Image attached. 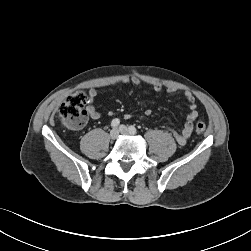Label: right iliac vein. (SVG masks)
<instances>
[{"label":"right iliac vein","instance_id":"63e3f726","mask_svg":"<svg viewBox=\"0 0 251 251\" xmlns=\"http://www.w3.org/2000/svg\"><path fill=\"white\" fill-rule=\"evenodd\" d=\"M118 134H119V130H118L117 128H114V129H112V130L110 131L109 136H110V138H111L112 140H115V139L118 137Z\"/></svg>","mask_w":251,"mask_h":251}]
</instances>
